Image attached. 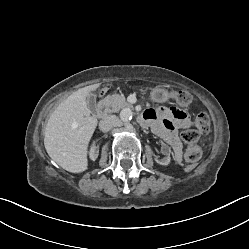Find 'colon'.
I'll use <instances>...</instances> for the list:
<instances>
[{
  "mask_svg": "<svg viewBox=\"0 0 249 249\" xmlns=\"http://www.w3.org/2000/svg\"><path fill=\"white\" fill-rule=\"evenodd\" d=\"M169 95L182 106H189L192 102L191 95L183 90H172ZM210 129V117L207 113L201 112L194 117L192 127L182 131L181 138L186 144L184 157L187 162L193 164L201 159L203 151L196 142L200 134H208Z\"/></svg>",
  "mask_w": 249,
  "mask_h": 249,
  "instance_id": "colon-1",
  "label": "colon"
}]
</instances>
